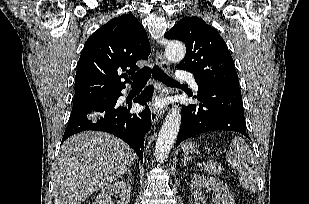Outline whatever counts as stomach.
<instances>
[{"instance_id": "obj_1", "label": "stomach", "mask_w": 309, "mask_h": 204, "mask_svg": "<svg viewBox=\"0 0 309 204\" xmlns=\"http://www.w3.org/2000/svg\"><path fill=\"white\" fill-rule=\"evenodd\" d=\"M182 149L186 155H192L197 152V146L192 142H188L183 145Z\"/></svg>"}]
</instances>
